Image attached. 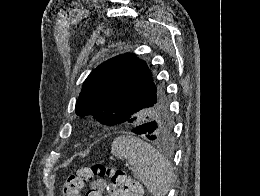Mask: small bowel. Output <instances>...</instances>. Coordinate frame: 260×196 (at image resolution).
Returning <instances> with one entry per match:
<instances>
[{"label":"small bowel","instance_id":"obj_1","mask_svg":"<svg viewBox=\"0 0 260 196\" xmlns=\"http://www.w3.org/2000/svg\"><path fill=\"white\" fill-rule=\"evenodd\" d=\"M108 191L109 185L107 182L103 179H97L90 184L86 196H105Z\"/></svg>","mask_w":260,"mask_h":196}]
</instances>
